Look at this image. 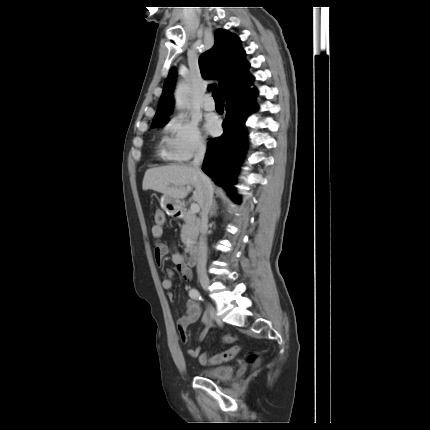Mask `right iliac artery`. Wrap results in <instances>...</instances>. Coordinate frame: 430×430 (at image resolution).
Wrapping results in <instances>:
<instances>
[{
	"mask_svg": "<svg viewBox=\"0 0 430 430\" xmlns=\"http://www.w3.org/2000/svg\"><path fill=\"white\" fill-rule=\"evenodd\" d=\"M189 296L195 300H202V297H201L199 291L195 288H193L189 291Z\"/></svg>",
	"mask_w": 430,
	"mask_h": 430,
	"instance_id": "right-iliac-artery-1",
	"label": "right iliac artery"
}]
</instances>
